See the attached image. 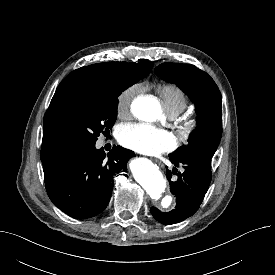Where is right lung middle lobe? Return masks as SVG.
<instances>
[{
    "label": "right lung middle lobe",
    "instance_id": "right-lung-middle-lobe-1",
    "mask_svg": "<svg viewBox=\"0 0 275 275\" xmlns=\"http://www.w3.org/2000/svg\"><path fill=\"white\" fill-rule=\"evenodd\" d=\"M126 88L115 86L59 94L52 98L44 124L66 150L95 145L100 133L106 134L113 127L118 96Z\"/></svg>",
    "mask_w": 275,
    "mask_h": 275
}]
</instances>
